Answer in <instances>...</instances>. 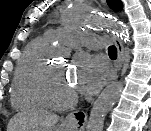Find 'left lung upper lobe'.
Instances as JSON below:
<instances>
[{"label":"left lung upper lobe","mask_w":151,"mask_h":131,"mask_svg":"<svg viewBox=\"0 0 151 131\" xmlns=\"http://www.w3.org/2000/svg\"><path fill=\"white\" fill-rule=\"evenodd\" d=\"M107 3L114 11H120L123 8L121 0H107Z\"/></svg>","instance_id":"obj_1"}]
</instances>
